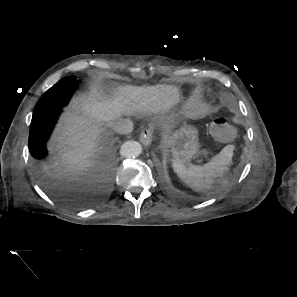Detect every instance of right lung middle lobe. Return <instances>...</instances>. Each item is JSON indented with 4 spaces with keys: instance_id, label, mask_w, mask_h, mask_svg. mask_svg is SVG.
<instances>
[{
    "instance_id": "dd1d6c3e",
    "label": "right lung middle lobe",
    "mask_w": 297,
    "mask_h": 297,
    "mask_svg": "<svg viewBox=\"0 0 297 297\" xmlns=\"http://www.w3.org/2000/svg\"><path fill=\"white\" fill-rule=\"evenodd\" d=\"M77 85L78 81L75 76H69L60 80L40 98L32 119L44 118L54 107L66 100V98L71 97Z\"/></svg>"
}]
</instances>
